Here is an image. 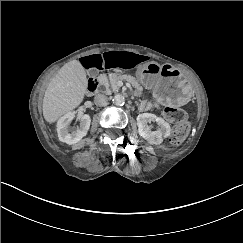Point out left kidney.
Returning <instances> with one entry per match:
<instances>
[{"instance_id": "left-kidney-1", "label": "left kidney", "mask_w": 243, "mask_h": 243, "mask_svg": "<svg viewBox=\"0 0 243 243\" xmlns=\"http://www.w3.org/2000/svg\"><path fill=\"white\" fill-rule=\"evenodd\" d=\"M151 120H155L159 128L156 131H151L147 123ZM138 132L141 137L147 140L150 144H161L163 138H167L170 135V125L163 118L156 117L151 113H143L137 116Z\"/></svg>"}]
</instances>
